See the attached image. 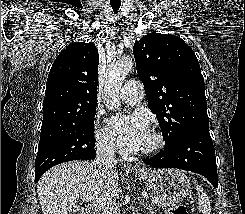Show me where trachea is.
Here are the masks:
<instances>
[{"instance_id": "trachea-1", "label": "trachea", "mask_w": 245, "mask_h": 214, "mask_svg": "<svg viewBox=\"0 0 245 214\" xmlns=\"http://www.w3.org/2000/svg\"><path fill=\"white\" fill-rule=\"evenodd\" d=\"M120 6H121V3L111 4V7H112L115 14L118 13Z\"/></svg>"}]
</instances>
